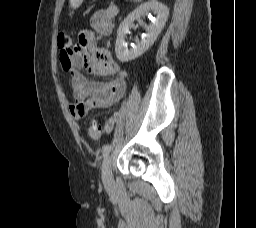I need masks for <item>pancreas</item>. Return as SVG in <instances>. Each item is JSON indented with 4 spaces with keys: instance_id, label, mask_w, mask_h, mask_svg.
<instances>
[{
    "instance_id": "cf45deb5",
    "label": "pancreas",
    "mask_w": 256,
    "mask_h": 228,
    "mask_svg": "<svg viewBox=\"0 0 256 228\" xmlns=\"http://www.w3.org/2000/svg\"><path fill=\"white\" fill-rule=\"evenodd\" d=\"M127 1H133V2H137V1H139V0H127Z\"/></svg>"
}]
</instances>
